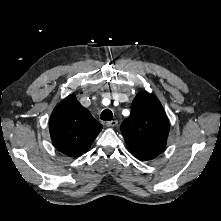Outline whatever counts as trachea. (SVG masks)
<instances>
[{
    "instance_id": "1",
    "label": "trachea",
    "mask_w": 221,
    "mask_h": 221,
    "mask_svg": "<svg viewBox=\"0 0 221 221\" xmlns=\"http://www.w3.org/2000/svg\"><path fill=\"white\" fill-rule=\"evenodd\" d=\"M100 118L104 121H111L113 119V113L111 110L109 109H105L103 110V112L101 113Z\"/></svg>"
}]
</instances>
